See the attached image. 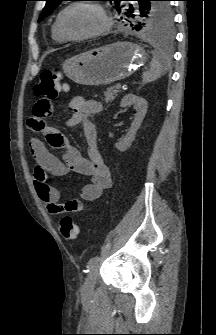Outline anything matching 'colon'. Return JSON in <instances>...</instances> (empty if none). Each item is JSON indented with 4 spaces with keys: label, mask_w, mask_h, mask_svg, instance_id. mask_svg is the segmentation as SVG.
I'll list each match as a JSON object with an SVG mask.
<instances>
[{
    "label": "colon",
    "mask_w": 216,
    "mask_h": 335,
    "mask_svg": "<svg viewBox=\"0 0 216 335\" xmlns=\"http://www.w3.org/2000/svg\"><path fill=\"white\" fill-rule=\"evenodd\" d=\"M65 86L60 82V74L57 71L45 70L41 74L39 83L34 87L35 94L40 98H50L52 103ZM37 104V103H36ZM53 138L50 139L52 143ZM62 236L67 240H75L80 235L81 229L71 216H63L58 224Z\"/></svg>",
    "instance_id": "colon-1"
}]
</instances>
